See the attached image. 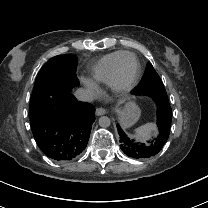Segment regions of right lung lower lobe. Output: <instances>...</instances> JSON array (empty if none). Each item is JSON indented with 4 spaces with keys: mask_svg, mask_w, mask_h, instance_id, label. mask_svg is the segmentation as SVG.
<instances>
[{
    "mask_svg": "<svg viewBox=\"0 0 208 208\" xmlns=\"http://www.w3.org/2000/svg\"><path fill=\"white\" fill-rule=\"evenodd\" d=\"M38 116L30 119L34 139L41 151L56 161H69L86 148L95 121V107L77 101L71 92L54 86L36 95Z\"/></svg>",
    "mask_w": 208,
    "mask_h": 208,
    "instance_id": "98d812e1",
    "label": "right lung lower lobe"
}]
</instances>
